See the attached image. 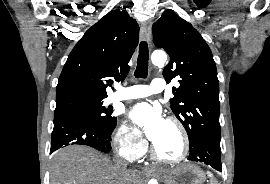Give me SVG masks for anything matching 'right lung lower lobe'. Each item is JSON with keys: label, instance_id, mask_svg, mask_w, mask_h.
<instances>
[{"label": "right lung lower lobe", "instance_id": "1", "mask_svg": "<svg viewBox=\"0 0 270 184\" xmlns=\"http://www.w3.org/2000/svg\"><path fill=\"white\" fill-rule=\"evenodd\" d=\"M114 128L107 131L78 114L54 116L50 154L63 146L73 144L87 145L107 153L111 150L110 141Z\"/></svg>", "mask_w": 270, "mask_h": 184}]
</instances>
